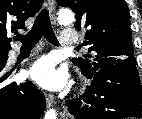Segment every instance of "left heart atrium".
<instances>
[{
  "label": "left heart atrium",
  "instance_id": "1",
  "mask_svg": "<svg viewBox=\"0 0 142 119\" xmlns=\"http://www.w3.org/2000/svg\"><path fill=\"white\" fill-rule=\"evenodd\" d=\"M29 74L36 83L50 90L60 89L66 82L65 71L57 70L54 62L48 57L39 59L31 67Z\"/></svg>",
  "mask_w": 142,
  "mask_h": 119
}]
</instances>
